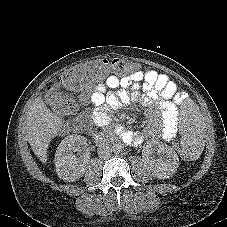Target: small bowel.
Wrapping results in <instances>:
<instances>
[{
	"mask_svg": "<svg viewBox=\"0 0 227 227\" xmlns=\"http://www.w3.org/2000/svg\"><path fill=\"white\" fill-rule=\"evenodd\" d=\"M118 90V93H111ZM81 101L93 105L92 119L95 125L105 126L112 117L113 109L121 102L139 103L150 111L144 132H134L123 126L115 128L116 135L127 144L138 145L145 138H161L171 141L177 134V105L184 100L175 82L154 69L141 70L132 76H107L99 81L93 91H84Z\"/></svg>",
	"mask_w": 227,
	"mask_h": 227,
	"instance_id": "1",
	"label": "small bowel"
}]
</instances>
